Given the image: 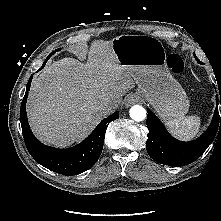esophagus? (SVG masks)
<instances>
[{"label": "esophagus", "instance_id": "1", "mask_svg": "<svg viewBox=\"0 0 221 221\" xmlns=\"http://www.w3.org/2000/svg\"><path fill=\"white\" fill-rule=\"evenodd\" d=\"M142 101V98L139 95H130L126 100H125V105L126 107H129L135 103H139Z\"/></svg>", "mask_w": 221, "mask_h": 221}]
</instances>
